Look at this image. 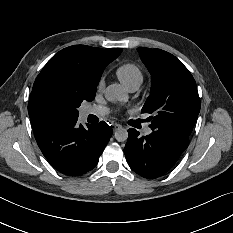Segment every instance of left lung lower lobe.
Segmentation results:
<instances>
[{
	"label": "left lung lower lobe",
	"instance_id": "0a47b994",
	"mask_svg": "<svg viewBox=\"0 0 233 233\" xmlns=\"http://www.w3.org/2000/svg\"><path fill=\"white\" fill-rule=\"evenodd\" d=\"M128 133L126 160L133 171L148 179L166 173L189 144L188 137L179 135L153 131L141 137L135 129H129Z\"/></svg>",
	"mask_w": 233,
	"mask_h": 233
}]
</instances>
